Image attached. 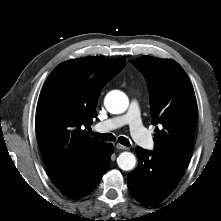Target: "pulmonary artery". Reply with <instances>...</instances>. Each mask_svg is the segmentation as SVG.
Returning <instances> with one entry per match:
<instances>
[{
  "mask_svg": "<svg viewBox=\"0 0 221 221\" xmlns=\"http://www.w3.org/2000/svg\"><path fill=\"white\" fill-rule=\"evenodd\" d=\"M123 125L129 126L132 137L142 147L148 150L154 148V141L141 121L140 109L136 100L131 102L126 114L100 122L96 128L100 131H109Z\"/></svg>",
  "mask_w": 221,
  "mask_h": 221,
  "instance_id": "pulmonary-artery-1",
  "label": "pulmonary artery"
}]
</instances>
